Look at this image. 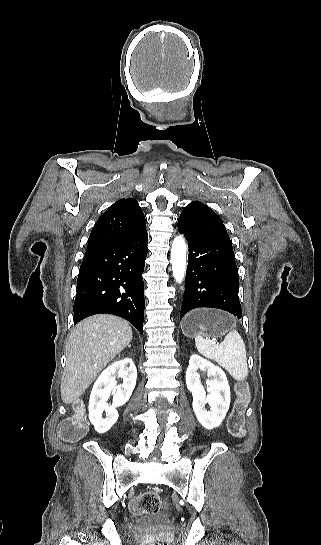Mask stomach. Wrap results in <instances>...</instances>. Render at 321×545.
<instances>
[{
    "instance_id": "obj_1",
    "label": "stomach",
    "mask_w": 321,
    "mask_h": 545,
    "mask_svg": "<svg viewBox=\"0 0 321 545\" xmlns=\"http://www.w3.org/2000/svg\"><path fill=\"white\" fill-rule=\"evenodd\" d=\"M235 319L216 309H195L184 317L181 325L182 333L185 337H223L231 327H234Z\"/></svg>"
}]
</instances>
